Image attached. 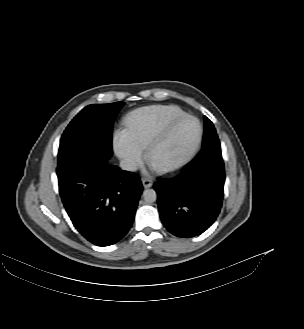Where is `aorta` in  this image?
Instances as JSON below:
<instances>
[{
  "label": "aorta",
  "instance_id": "762f6f07",
  "mask_svg": "<svg viewBox=\"0 0 304 329\" xmlns=\"http://www.w3.org/2000/svg\"><path fill=\"white\" fill-rule=\"evenodd\" d=\"M143 198H144V201L147 203L155 202L157 199L156 191L154 189H146L143 192Z\"/></svg>",
  "mask_w": 304,
  "mask_h": 329
}]
</instances>
